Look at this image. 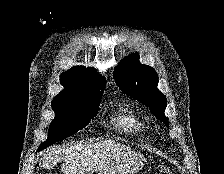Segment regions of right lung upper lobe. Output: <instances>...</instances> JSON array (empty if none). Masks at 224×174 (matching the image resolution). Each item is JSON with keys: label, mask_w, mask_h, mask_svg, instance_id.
Masks as SVG:
<instances>
[{"label": "right lung upper lobe", "mask_w": 224, "mask_h": 174, "mask_svg": "<svg viewBox=\"0 0 224 174\" xmlns=\"http://www.w3.org/2000/svg\"><path fill=\"white\" fill-rule=\"evenodd\" d=\"M60 81L64 90L54 97L52 104L100 99L106 85L104 77L99 76L93 68L84 66H74L62 73Z\"/></svg>", "instance_id": "obj_1"}]
</instances>
